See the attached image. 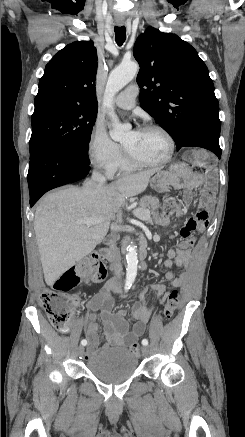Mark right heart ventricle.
Listing matches in <instances>:
<instances>
[{
  "instance_id": "right-heart-ventricle-1",
  "label": "right heart ventricle",
  "mask_w": 245,
  "mask_h": 437,
  "mask_svg": "<svg viewBox=\"0 0 245 437\" xmlns=\"http://www.w3.org/2000/svg\"><path fill=\"white\" fill-rule=\"evenodd\" d=\"M137 166L130 163L126 157H123V159L119 162L114 172L117 173H128L136 169Z\"/></svg>"
}]
</instances>
